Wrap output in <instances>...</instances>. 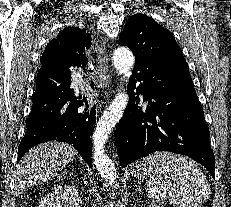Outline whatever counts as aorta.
I'll return each mask as SVG.
<instances>
[{"label": "aorta", "mask_w": 231, "mask_h": 207, "mask_svg": "<svg viewBox=\"0 0 231 207\" xmlns=\"http://www.w3.org/2000/svg\"><path fill=\"white\" fill-rule=\"evenodd\" d=\"M112 58L116 70L125 78L130 77L135 62L133 53L126 47H120L114 51ZM128 100L127 92H119L98 120L92 136L93 163L102 179L110 185L116 182L118 174L113 161L105 153V143L113 128L122 118Z\"/></svg>", "instance_id": "762f6f07"}]
</instances>
